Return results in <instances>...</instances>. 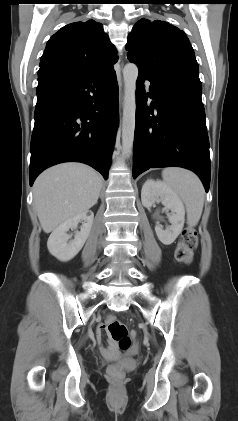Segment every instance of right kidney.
Wrapping results in <instances>:
<instances>
[{
  "label": "right kidney",
  "instance_id": "obj_1",
  "mask_svg": "<svg viewBox=\"0 0 238 421\" xmlns=\"http://www.w3.org/2000/svg\"><path fill=\"white\" fill-rule=\"evenodd\" d=\"M93 219V212L86 211L61 223L51 233L47 241L49 252L62 262L73 259L85 244L92 228ZM79 223H82L80 231L76 232L74 239L69 241L71 236L67 232L69 229L76 228Z\"/></svg>",
  "mask_w": 238,
  "mask_h": 421
}]
</instances>
